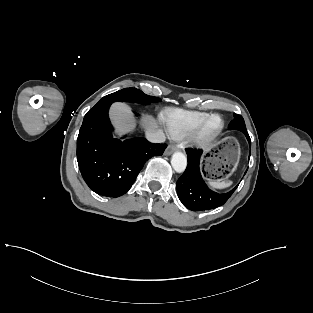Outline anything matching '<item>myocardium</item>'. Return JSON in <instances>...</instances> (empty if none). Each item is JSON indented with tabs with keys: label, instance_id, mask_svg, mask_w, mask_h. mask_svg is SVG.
Listing matches in <instances>:
<instances>
[{
	"label": "myocardium",
	"instance_id": "1",
	"mask_svg": "<svg viewBox=\"0 0 313 313\" xmlns=\"http://www.w3.org/2000/svg\"><path fill=\"white\" fill-rule=\"evenodd\" d=\"M218 118L220 120L219 128L211 133L206 134L205 129L208 123L213 119ZM225 127L223 118L218 114H210L206 117L189 135L188 142L190 145L196 149H206L209 148L221 135Z\"/></svg>",
	"mask_w": 313,
	"mask_h": 313
}]
</instances>
